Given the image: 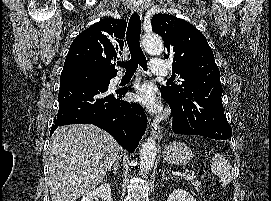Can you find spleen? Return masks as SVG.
Here are the masks:
<instances>
[{
  "instance_id": "3e777b00",
  "label": "spleen",
  "mask_w": 271,
  "mask_h": 201,
  "mask_svg": "<svg viewBox=\"0 0 271 201\" xmlns=\"http://www.w3.org/2000/svg\"><path fill=\"white\" fill-rule=\"evenodd\" d=\"M211 171L218 175L222 186H226L233 179V168L230 162L219 153L212 157Z\"/></svg>"
}]
</instances>
